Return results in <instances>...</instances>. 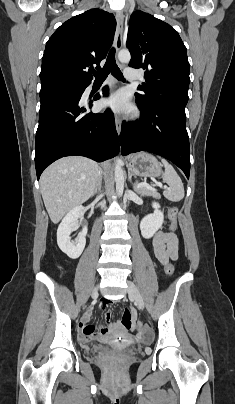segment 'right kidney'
Segmentation results:
<instances>
[{
  "label": "right kidney",
  "instance_id": "obj_1",
  "mask_svg": "<svg viewBox=\"0 0 235 404\" xmlns=\"http://www.w3.org/2000/svg\"><path fill=\"white\" fill-rule=\"evenodd\" d=\"M81 212V206L71 209L63 218L57 230V244L71 259L78 258L82 254L86 244V226L83 227L82 231L79 233L76 243H73L70 238L71 232L78 224V218L80 217Z\"/></svg>",
  "mask_w": 235,
  "mask_h": 404
}]
</instances>
